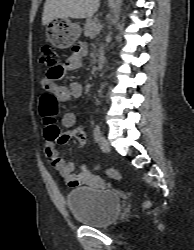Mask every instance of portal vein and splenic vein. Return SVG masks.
<instances>
[{"label": "portal vein and splenic vein", "instance_id": "18ae733b", "mask_svg": "<svg viewBox=\"0 0 194 250\" xmlns=\"http://www.w3.org/2000/svg\"><path fill=\"white\" fill-rule=\"evenodd\" d=\"M101 28H102V26H100V29H101ZM100 29H98V30L96 31V33H99Z\"/></svg>", "mask_w": 194, "mask_h": 250}]
</instances>
